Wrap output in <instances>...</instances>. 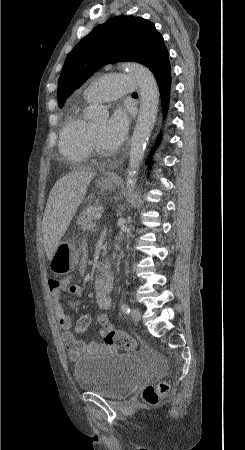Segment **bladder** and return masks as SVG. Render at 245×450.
Segmentation results:
<instances>
[{
  "mask_svg": "<svg viewBox=\"0 0 245 450\" xmlns=\"http://www.w3.org/2000/svg\"><path fill=\"white\" fill-rule=\"evenodd\" d=\"M73 374L80 390L110 399L127 397L144 378L141 365L126 354H98L84 358L76 363Z\"/></svg>",
  "mask_w": 245,
  "mask_h": 450,
  "instance_id": "bladder-1",
  "label": "bladder"
}]
</instances>
